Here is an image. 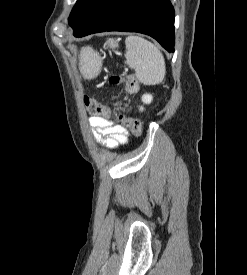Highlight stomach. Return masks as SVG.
Returning <instances> with one entry per match:
<instances>
[{
  "instance_id": "obj_1",
  "label": "stomach",
  "mask_w": 247,
  "mask_h": 275,
  "mask_svg": "<svg viewBox=\"0 0 247 275\" xmlns=\"http://www.w3.org/2000/svg\"><path fill=\"white\" fill-rule=\"evenodd\" d=\"M112 47H116L117 44L110 40ZM102 66L101 57L95 51L90 48L84 49L81 54L80 59V71L82 75L86 78H92L98 75L100 68Z\"/></svg>"
}]
</instances>
